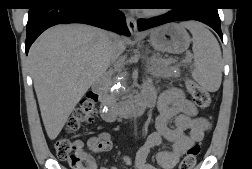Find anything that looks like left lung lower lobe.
Segmentation results:
<instances>
[{
	"mask_svg": "<svg viewBox=\"0 0 252 169\" xmlns=\"http://www.w3.org/2000/svg\"><path fill=\"white\" fill-rule=\"evenodd\" d=\"M172 6L173 10L163 16L138 20V30L142 31L175 21L196 20L213 28L223 40L218 7L214 0H175Z\"/></svg>",
	"mask_w": 252,
	"mask_h": 169,
	"instance_id": "0a47b994",
	"label": "left lung lower lobe"
}]
</instances>
